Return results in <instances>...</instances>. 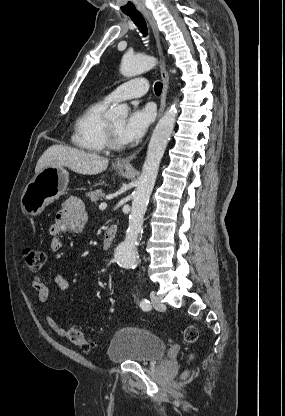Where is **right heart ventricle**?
<instances>
[{"label": "right heart ventricle", "instance_id": "obj_1", "mask_svg": "<svg viewBox=\"0 0 285 416\" xmlns=\"http://www.w3.org/2000/svg\"><path fill=\"white\" fill-rule=\"evenodd\" d=\"M105 108V101H94L82 111L75 121L71 142L84 153L101 154L106 150L104 138Z\"/></svg>", "mask_w": 285, "mask_h": 416}]
</instances>
